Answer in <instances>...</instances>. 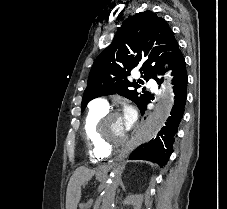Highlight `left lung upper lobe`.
<instances>
[{
	"mask_svg": "<svg viewBox=\"0 0 227 209\" xmlns=\"http://www.w3.org/2000/svg\"><path fill=\"white\" fill-rule=\"evenodd\" d=\"M179 50L173 31L156 13L144 11L127 18L91 68L82 111L90 100L115 93L132 100L142 111L151 96L149 92L138 93V83L150 78L158 81L157 76L165 74V65L170 67ZM137 66L143 80L131 83L126 76Z\"/></svg>",
	"mask_w": 227,
	"mask_h": 209,
	"instance_id": "left-lung-upper-lobe-1",
	"label": "left lung upper lobe"
}]
</instances>
